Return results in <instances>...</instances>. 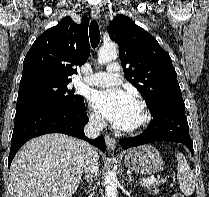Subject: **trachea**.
<instances>
[{
  "label": "trachea",
  "mask_w": 209,
  "mask_h": 197,
  "mask_svg": "<svg viewBox=\"0 0 209 197\" xmlns=\"http://www.w3.org/2000/svg\"><path fill=\"white\" fill-rule=\"evenodd\" d=\"M91 45L96 48L100 42V30L96 20H92L89 27Z\"/></svg>",
  "instance_id": "3493384b"
}]
</instances>
